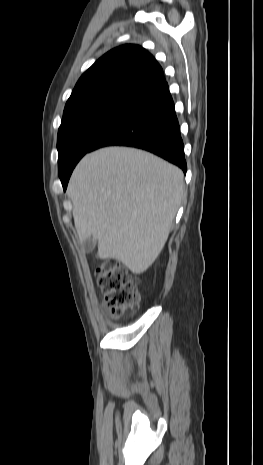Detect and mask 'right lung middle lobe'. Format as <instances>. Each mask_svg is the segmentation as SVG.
<instances>
[{"mask_svg": "<svg viewBox=\"0 0 263 465\" xmlns=\"http://www.w3.org/2000/svg\"><path fill=\"white\" fill-rule=\"evenodd\" d=\"M136 100L128 97L99 98L63 113L57 138L60 179L71 174L78 161Z\"/></svg>", "mask_w": 263, "mask_h": 465, "instance_id": "right-lung-middle-lobe-1", "label": "right lung middle lobe"}]
</instances>
